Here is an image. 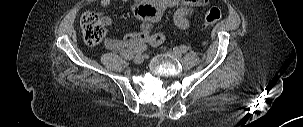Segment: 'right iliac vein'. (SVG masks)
I'll return each mask as SVG.
<instances>
[{
	"label": "right iliac vein",
	"instance_id": "1",
	"mask_svg": "<svg viewBox=\"0 0 303 127\" xmlns=\"http://www.w3.org/2000/svg\"><path fill=\"white\" fill-rule=\"evenodd\" d=\"M135 64H141L144 61V57L141 54H138L133 59Z\"/></svg>",
	"mask_w": 303,
	"mask_h": 127
}]
</instances>
